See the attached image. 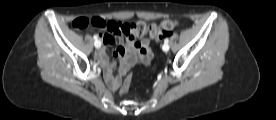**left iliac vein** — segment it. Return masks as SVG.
Segmentation results:
<instances>
[{
  "instance_id": "left-iliac-vein-1",
  "label": "left iliac vein",
  "mask_w": 276,
  "mask_h": 120,
  "mask_svg": "<svg viewBox=\"0 0 276 120\" xmlns=\"http://www.w3.org/2000/svg\"><path fill=\"white\" fill-rule=\"evenodd\" d=\"M163 51L167 52L169 50V45L168 44H164L162 47Z\"/></svg>"
}]
</instances>
